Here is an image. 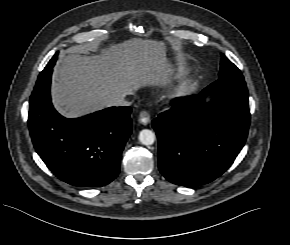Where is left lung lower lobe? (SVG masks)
Wrapping results in <instances>:
<instances>
[{"label":"left lung lower lobe","mask_w":290,"mask_h":245,"mask_svg":"<svg viewBox=\"0 0 290 245\" xmlns=\"http://www.w3.org/2000/svg\"><path fill=\"white\" fill-rule=\"evenodd\" d=\"M213 94L210 102L204 98ZM250 123L243 79H218L198 96L178 98L152 121L158 166L170 182L194 187L213 181L234 162Z\"/></svg>","instance_id":"0a47b994"}]
</instances>
